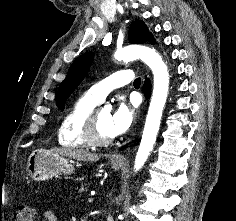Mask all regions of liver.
I'll list each match as a JSON object with an SVG mask.
<instances>
[{
	"label": "liver",
	"mask_w": 236,
	"mask_h": 221,
	"mask_svg": "<svg viewBox=\"0 0 236 221\" xmlns=\"http://www.w3.org/2000/svg\"><path fill=\"white\" fill-rule=\"evenodd\" d=\"M49 152L59 154L62 156H67L82 162H96L100 159L101 155L96 153H91L80 149L71 148H54Z\"/></svg>",
	"instance_id": "obj_1"
}]
</instances>
